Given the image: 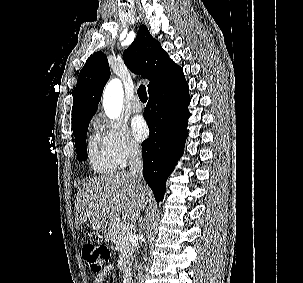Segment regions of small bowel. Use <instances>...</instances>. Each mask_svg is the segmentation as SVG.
Returning a JSON list of instances; mask_svg holds the SVG:
<instances>
[{
    "mask_svg": "<svg viewBox=\"0 0 303 283\" xmlns=\"http://www.w3.org/2000/svg\"><path fill=\"white\" fill-rule=\"evenodd\" d=\"M112 268L113 266L111 264L105 266L104 269L95 276L94 283H102L105 276L112 270Z\"/></svg>",
    "mask_w": 303,
    "mask_h": 283,
    "instance_id": "c3829d8e",
    "label": "small bowel"
}]
</instances>
